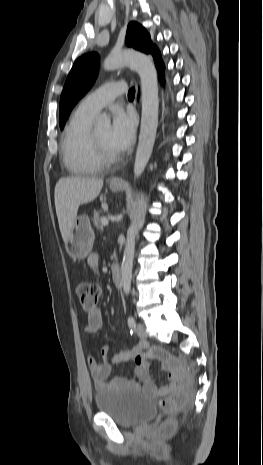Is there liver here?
Wrapping results in <instances>:
<instances>
[{"instance_id":"liver-1","label":"liver","mask_w":263,"mask_h":465,"mask_svg":"<svg viewBox=\"0 0 263 465\" xmlns=\"http://www.w3.org/2000/svg\"><path fill=\"white\" fill-rule=\"evenodd\" d=\"M103 186V179L95 177H65L55 186V208L63 241L77 217L78 208L95 200Z\"/></svg>"}]
</instances>
